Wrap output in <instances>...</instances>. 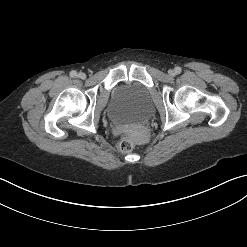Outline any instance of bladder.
I'll list each match as a JSON object with an SVG mask.
<instances>
[{"label":"bladder","instance_id":"31cf9c89","mask_svg":"<svg viewBox=\"0 0 247 247\" xmlns=\"http://www.w3.org/2000/svg\"><path fill=\"white\" fill-rule=\"evenodd\" d=\"M153 111L148 88L139 83L128 82L115 89L107 113L114 123L137 124L147 121Z\"/></svg>","mask_w":247,"mask_h":247}]
</instances>
